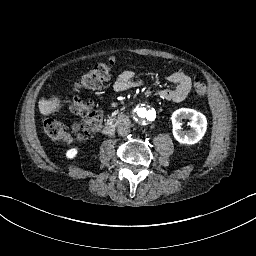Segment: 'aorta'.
I'll use <instances>...</instances> for the list:
<instances>
[{
	"mask_svg": "<svg viewBox=\"0 0 256 256\" xmlns=\"http://www.w3.org/2000/svg\"><path fill=\"white\" fill-rule=\"evenodd\" d=\"M131 114L137 122H150L154 118V109L148 101L140 100L132 106Z\"/></svg>",
	"mask_w": 256,
	"mask_h": 256,
	"instance_id": "762f6f07",
	"label": "aorta"
}]
</instances>
